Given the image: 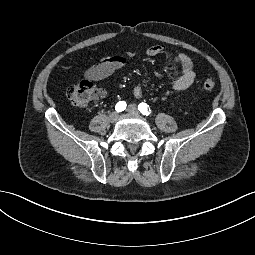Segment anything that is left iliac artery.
Listing matches in <instances>:
<instances>
[{
    "mask_svg": "<svg viewBox=\"0 0 255 255\" xmlns=\"http://www.w3.org/2000/svg\"><path fill=\"white\" fill-rule=\"evenodd\" d=\"M138 109L143 115L146 116L149 115L151 112L149 105H147L146 103H140L138 105Z\"/></svg>",
    "mask_w": 255,
    "mask_h": 255,
    "instance_id": "44dca946",
    "label": "left iliac artery"
}]
</instances>
